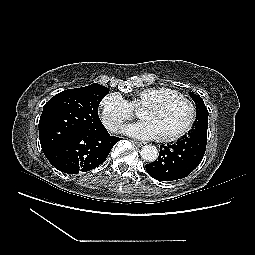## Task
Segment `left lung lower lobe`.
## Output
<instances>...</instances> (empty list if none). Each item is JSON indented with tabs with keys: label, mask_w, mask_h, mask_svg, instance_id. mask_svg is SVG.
<instances>
[{
	"label": "left lung lower lobe",
	"mask_w": 255,
	"mask_h": 255,
	"mask_svg": "<svg viewBox=\"0 0 255 255\" xmlns=\"http://www.w3.org/2000/svg\"><path fill=\"white\" fill-rule=\"evenodd\" d=\"M207 142V128L193 129L175 144L160 147L158 160L146 165L148 174L159 181H173L188 176L202 160Z\"/></svg>",
	"instance_id": "obj_1"
}]
</instances>
